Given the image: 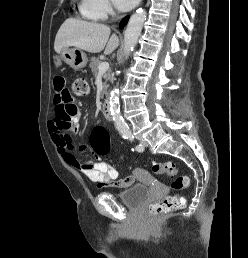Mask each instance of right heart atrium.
Wrapping results in <instances>:
<instances>
[{"label":"right heart atrium","mask_w":248,"mask_h":258,"mask_svg":"<svg viewBox=\"0 0 248 258\" xmlns=\"http://www.w3.org/2000/svg\"><path fill=\"white\" fill-rule=\"evenodd\" d=\"M84 11L94 19H104L112 13L109 0H82Z\"/></svg>","instance_id":"right-heart-atrium-1"}]
</instances>
